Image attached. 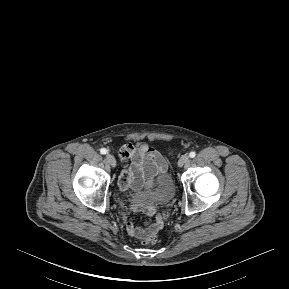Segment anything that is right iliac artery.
Here are the masks:
<instances>
[{"mask_svg":"<svg viewBox=\"0 0 289 289\" xmlns=\"http://www.w3.org/2000/svg\"><path fill=\"white\" fill-rule=\"evenodd\" d=\"M100 153L103 154V155L108 154V150L106 148H102L100 150Z\"/></svg>","mask_w":289,"mask_h":289,"instance_id":"82829eb1","label":"right iliac artery"}]
</instances>
